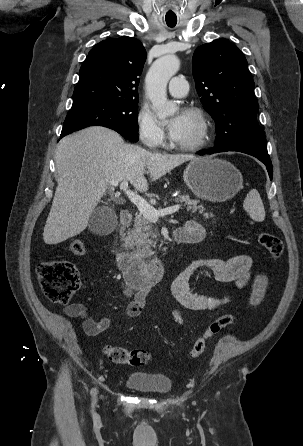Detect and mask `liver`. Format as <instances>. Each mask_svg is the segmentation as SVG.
Here are the masks:
<instances>
[{"label":"liver","mask_w":303,"mask_h":446,"mask_svg":"<svg viewBox=\"0 0 303 446\" xmlns=\"http://www.w3.org/2000/svg\"><path fill=\"white\" fill-rule=\"evenodd\" d=\"M194 159L127 144L118 133L100 126L64 137L55 152L58 186L44 227V242L58 244L85 230L110 182L129 181L139 192H146V169L151 181H156Z\"/></svg>","instance_id":"6515ba94"}]
</instances>
